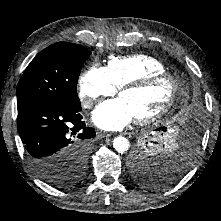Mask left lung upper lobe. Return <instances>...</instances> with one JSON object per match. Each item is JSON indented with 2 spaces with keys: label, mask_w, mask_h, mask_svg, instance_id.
Wrapping results in <instances>:
<instances>
[{
  "label": "left lung upper lobe",
  "mask_w": 221,
  "mask_h": 221,
  "mask_svg": "<svg viewBox=\"0 0 221 221\" xmlns=\"http://www.w3.org/2000/svg\"><path fill=\"white\" fill-rule=\"evenodd\" d=\"M164 160H166L164 157L149 155L143 149H138L131 156L132 172L135 179L149 187L166 186L171 175L163 173L166 170L164 165L166 161Z\"/></svg>",
  "instance_id": "left-lung-upper-lobe-1"
}]
</instances>
